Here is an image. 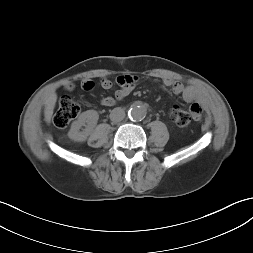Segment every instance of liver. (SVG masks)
<instances>
[{"label": "liver", "mask_w": 253, "mask_h": 253, "mask_svg": "<svg viewBox=\"0 0 253 253\" xmlns=\"http://www.w3.org/2000/svg\"><path fill=\"white\" fill-rule=\"evenodd\" d=\"M57 101V95L53 91L49 94L45 101V108H44V120L49 124L51 121V117L53 115V111L55 108V104Z\"/></svg>", "instance_id": "liver-1"}]
</instances>
